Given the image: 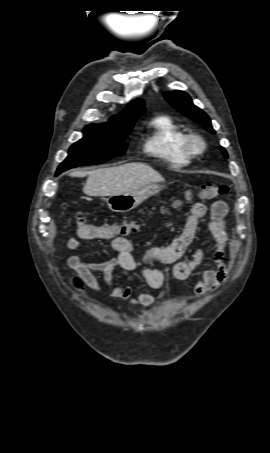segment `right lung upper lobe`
Returning a JSON list of instances; mask_svg holds the SVG:
<instances>
[{
  "mask_svg": "<svg viewBox=\"0 0 270 453\" xmlns=\"http://www.w3.org/2000/svg\"><path fill=\"white\" fill-rule=\"evenodd\" d=\"M145 112L144 103L141 100H136L130 103L126 110L120 115L112 117L108 123L102 124L111 128H127L134 124Z\"/></svg>",
  "mask_w": 270,
  "mask_h": 453,
  "instance_id": "right-lung-upper-lobe-1",
  "label": "right lung upper lobe"
}]
</instances>
